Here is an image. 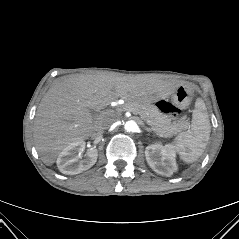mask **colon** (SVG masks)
<instances>
[{"label": "colon", "instance_id": "5ec220e1", "mask_svg": "<svg viewBox=\"0 0 239 239\" xmlns=\"http://www.w3.org/2000/svg\"><path fill=\"white\" fill-rule=\"evenodd\" d=\"M159 108L163 113L172 117H175L179 113L178 108L168 101H160Z\"/></svg>", "mask_w": 239, "mask_h": 239}]
</instances>
